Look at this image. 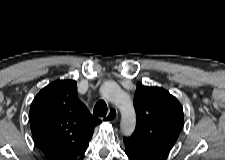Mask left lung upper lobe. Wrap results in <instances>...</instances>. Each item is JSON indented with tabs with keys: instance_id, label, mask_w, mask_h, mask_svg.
<instances>
[{
	"instance_id": "obj_1",
	"label": "left lung upper lobe",
	"mask_w": 225,
	"mask_h": 160,
	"mask_svg": "<svg viewBox=\"0 0 225 160\" xmlns=\"http://www.w3.org/2000/svg\"><path fill=\"white\" fill-rule=\"evenodd\" d=\"M137 124L124 138L125 148L144 160L166 158L183 128L179 101L159 87L140 86L135 92Z\"/></svg>"
}]
</instances>
